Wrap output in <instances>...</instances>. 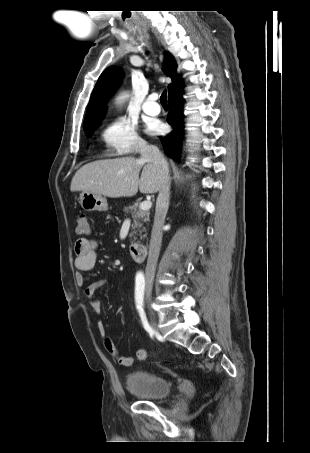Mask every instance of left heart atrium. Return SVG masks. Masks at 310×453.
<instances>
[{
	"instance_id": "1",
	"label": "left heart atrium",
	"mask_w": 310,
	"mask_h": 453,
	"mask_svg": "<svg viewBox=\"0 0 310 453\" xmlns=\"http://www.w3.org/2000/svg\"><path fill=\"white\" fill-rule=\"evenodd\" d=\"M152 130L154 131H158L160 129V126L158 124H154L152 127H151Z\"/></svg>"
}]
</instances>
